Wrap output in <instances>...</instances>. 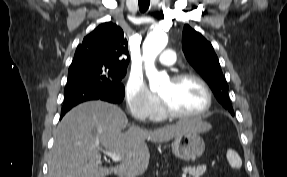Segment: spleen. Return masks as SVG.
<instances>
[{"label": "spleen", "mask_w": 287, "mask_h": 177, "mask_svg": "<svg viewBox=\"0 0 287 177\" xmlns=\"http://www.w3.org/2000/svg\"><path fill=\"white\" fill-rule=\"evenodd\" d=\"M226 157L232 168L234 169L241 168L242 160L236 151L229 149L226 153Z\"/></svg>", "instance_id": "3e777b00"}]
</instances>
